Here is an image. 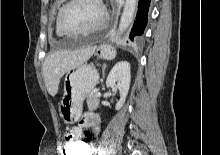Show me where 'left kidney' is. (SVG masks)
Here are the masks:
<instances>
[{
  "mask_svg": "<svg viewBox=\"0 0 220 155\" xmlns=\"http://www.w3.org/2000/svg\"><path fill=\"white\" fill-rule=\"evenodd\" d=\"M130 64L127 61H120L111 69L108 74L106 85L110 88H117L120 92V100L116 104V110L123 107L130 87Z\"/></svg>",
  "mask_w": 220,
  "mask_h": 155,
  "instance_id": "1",
  "label": "left kidney"
}]
</instances>
